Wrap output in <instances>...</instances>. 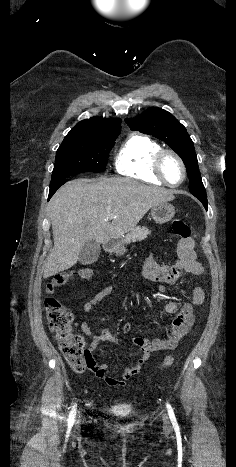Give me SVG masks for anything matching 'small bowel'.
Here are the masks:
<instances>
[{
  "mask_svg": "<svg viewBox=\"0 0 236 467\" xmlns=\"http://www.w3.org/2000/svg\"><path fill=\"white\" fill-rule=\"evenodd\" d=\"M178 260L173 265H161L157 263L152 254H148L143 262V272L146 279L151 283H175L185 274L203 275L205 270L197 260L196 244L193 240L186 239L178 244ZM118 289L116 285H109L97 292L91 299L83 304V311L90 313L107 296ZM205 301V292L202 287L196 286L192 290L191 303H185L180 308L175 301L165 305V311L177 313L166 329V336L148 340L142 337H134L132 342L139 347L140 358L121 373V380L109 375L107 366L99 364L93 358L89 369L101 380L110 386H122L124 380H128L140 373L143 364L149 359L152 352L174 349L182 337L189 331L194 321L193 305H201ZM81 330L91 338L90 351H95L103 342L117 344L116 338L107 329L94 331L87 320L80 323ZM132 325L126 322L122 325V331L129 333Z\"/></svg>",
  "mask_w": 236,
  "mask_h": 467,
  "instance_id": "small-bowel-1",
  "label": "small bowel"
}]
</instances>
